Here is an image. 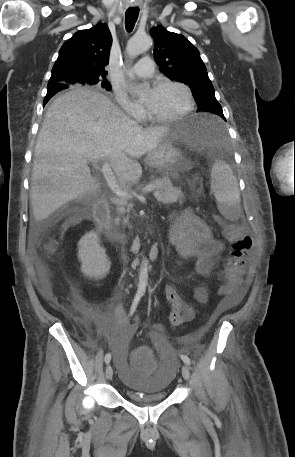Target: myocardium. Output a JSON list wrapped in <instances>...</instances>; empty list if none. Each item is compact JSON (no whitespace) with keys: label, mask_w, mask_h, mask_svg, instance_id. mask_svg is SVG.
<instances>
[{"label":"myocardium","mask_w":295,"mask_h":457,"mask_svg":"<svg viewBox=\"0 0 295 457\" xmlns=\"http://www.w3.org/2000/svg\"><path fill=\"white\" fill-rule=\"evenodd\" d=\"M163 86H176V87L181 88L186 96V100H187L186 106L181 112H179L175 115H172V116H167V117L158 116V115L154 114L147 107L146 111H147V115L150 120H152L154 122H159V123H171V122L179 121V120L185 118L187 115H189L193 111L194 106H195L194 96H193L191 89L186 84H184L180 81L169 80V79L160 80L156 84L157 88L163 87Z\"/></svg>","instance_id":"1"}]
</instances>
